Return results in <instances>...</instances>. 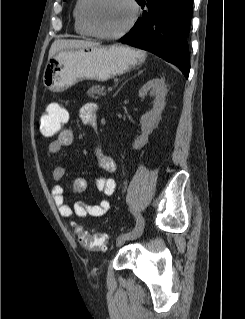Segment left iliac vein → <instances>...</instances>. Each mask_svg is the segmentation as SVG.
<instances>
[{"label":"left iliac vein","instance_id":"4c4485c4","mask_svg":"<svg viewBox=\"0 0 245 319\" xmlns=\"http://www.w3.org/2000/svg\"><path fill=\"white\" fill-rule=\"evenodd\" d=\"M142 232V231H141ZM141 232H138L136 234H134L133 236H127L125 233L121 234L118 238H117V241H116V245L117 247H120L122 246L126 241L130 240V239H133V238H136L138 237Z\"/></svg>","mask_w":245,"mask_h":319}]
</instances>
